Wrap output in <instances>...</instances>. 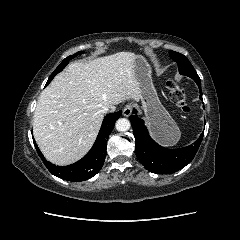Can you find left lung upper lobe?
<instances>
[{"label": "left lung upper lobe", "mask_w": 240, "mask_h": 240, "mask_svg": "<svg viewBox=\"0 0 240 240\" xmlns=\"http://www.w3.org/2000/svg\"><path fill=\"white\" fill-rule=\"evenodd\" d=\"M169 54L170 58L178 64L179 72L182 75H186L190 78L198 77V74L187 57L175 51H169Z\"/></svg>", "instance_id": "obj_1"}]
</instances>
